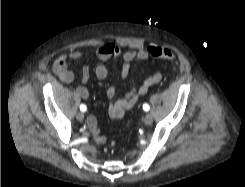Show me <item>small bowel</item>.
<instances>
[{"label":"small bowel","mask_w":245,"mask_h":187,"mask_svg":"<svg viewBox=\"0 0 245 187\" xmlns=\"http://www.w3.org/2000/svg\"><path fill=\"white\" fill-rule=\"evenodd\" d=\"M152 45V44H151ZM157 45V44H156ZM83 57V52L79 50H73L69 53H63L57 56L53 63V71L63 83H71L74 80V74L68 68V60H79ZM122 58V67L120 76L122 79H126L129 75L131 68L139 61L146 60L150 57L148 53V47L140 50H131L122 53L120 47L113 42H107L102 44L96 51V58L98 63L94 67L95 76L102 80L108 75V70L103 64L111 58ZM91 75L90 66H85L82 70L81 83L75 93L80 99H87L90 95V91L86 86ZM162 80V73L157 71L147 78H145L139 85L133 86L127 91L121 98L115 99L117 88L112 86L108 89L107 94L110 99L108 113L112 119L119 120L124 117L127 110L132 109L139 98L145 95L148 90L157 85ZM87 126L93 133L94 141L96 144H103L106 138L100 133L97 127V120L94 116H90L87 119Z\"/></svg>","instance_id":"1"}]
</instances>
